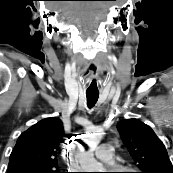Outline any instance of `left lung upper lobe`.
Wrapping results in <instances>:
<instances>
[{"instance_id":"left-lung-upper-lobe-1","label":"left lung upper lobe","mask_w":173,"mask_h":173,"mask_svg":"<svg viewBox=\"0 0 173 173\" xmlns=\"http://www.w3.org/2000/svg\"><path fill=\"white\" fill-rule=\"evenodd\" d=\"M117 130L140 173H173L163 142L148 125L128 119L120 121Z\"/></svg>"}]
</instances>
